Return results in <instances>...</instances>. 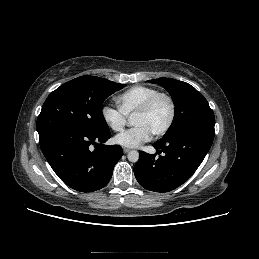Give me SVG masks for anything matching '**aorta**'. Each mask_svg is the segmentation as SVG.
Wrapping results in <instances>:
<instances>
[{"instance_id": "1", "label": "aorta", "mask_w": 259, "mask_h": 259, "mask_svg": "<svg viewBox=\"0 0 259 259\" xmlns=\"http://www.w3.org/2000/svg\"><path fill=\"white\" fill-rule=\"evenodd\" d=\"M128 160L131 161V162H137L138 159H139V153L136 151V150H131L129 153H128Z\"/></svg>"}]
</instances>
